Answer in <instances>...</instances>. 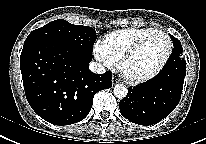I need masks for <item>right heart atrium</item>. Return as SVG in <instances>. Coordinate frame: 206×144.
<instances>
[{
  "instance_id": "1",
  "label": "right heart atrium",
  "mask_w": 206,
  "mask_h": 144,
  "mask_svg": "<svg viewBox=\"0 0 206 144\" xmlns=\"http://www.w3.org/2000/svg\"><path fill=\"white\" fill-rule=\"evenodd\" d=\"M94 55L96 59L101 62L106 67H113L115 65V61L108 54L106 49L104 48L101 41L95 43L93 48Z\"/></svg>"
}]
</instances>
